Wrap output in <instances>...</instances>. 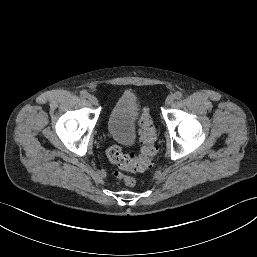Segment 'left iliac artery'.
Instances as JSON below:
<instances>
[{
	"label": "left iliac artery",
	"mask_w": 257,
	"mask_h": 257,
	"mask_svg": "<svg viewBox=\"0 0 257 257\" xmlns=\"http://www.w3.org/2000/svg\"><path fill=\"white\" fill-rule=\"evenodd\" d=\"M182 97H183V94H182L181 92H179V91L175 92V94H174V98H175V99L179 100V99H181Z\"/></svg>",
	"instance_id": "obj_1"
}]
</instances>
